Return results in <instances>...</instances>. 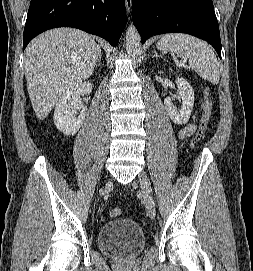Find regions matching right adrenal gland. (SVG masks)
Wrapping results in <instances>:
<instances>
[{
	"label": "right adrenal gland",
	"mask_w": 253,
	"mask_h": 271,
	"mask_svg": "<svg viewBox=\"0 0 253 271\" xmlns=\"http://www.w3.org/2000/svg\"><path fill=\"white\" fill-rule=\"evenodd\" d=\"M98 64H101V54H99V57H98V61H97L96 66H97Z\"/></svg>",
	"instance_id": "1"
}]
</instances>
